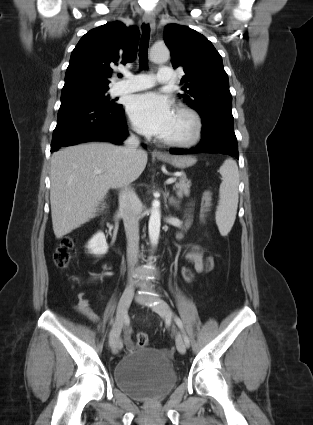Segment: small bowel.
Returning a JSON list of instances; mask_svg holds the SVG:
<instances>
[{
  "label": "small bowel",
  "instance_id": "small-bowel-1",
  "mask_svg": "<svg viewBox=\"0 0 313 425\" xmlns=\"http://www.w3.org/2000/svg\"><path fill=\"white\" fill-rule=\"evenodd\" d=\"M211 201V194L210 192H205L203 196V205L204 208H207ZM178 238H181V234L178 235ZM186 259L189 261L196 271L197 274L205 273L204 266H205V259L203 258V255L200 252L190 251L186 254ZM76 309L89 318L92 321H97L98 316L92 311V309L89 306V299L85 292H79L77 294V305Z\"/></svg>",
  "mask_w": 313,
  "mask_h": 425
}]
</instances>
